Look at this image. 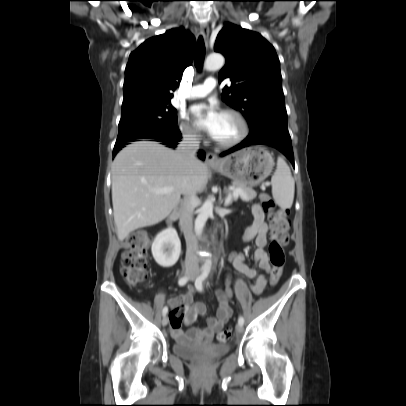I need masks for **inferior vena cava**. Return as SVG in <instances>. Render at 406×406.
I'll return each instance as SVG.
<instances>
[{"label":"inferior vena cava","instance_id":"602c4592","mask_svg":"<svg viewBox=\"0 0 406 406\" xmlns=\"http://www.w3.org/2000/svg\"><path fill=\"white\" fill-rule=\"evenodd\" d=\"M199 138L196 134L186 133L177 147V152L190 165L195 164L198 159L196 153L199 149ZM198 198L196 193L191 192L184 197L183 207L180 216V226L184 232L186 240V268H198V242L193 233V211L197 204Z\"/></svg>","mask_w":406,"mask_h":406}]
</instances>
